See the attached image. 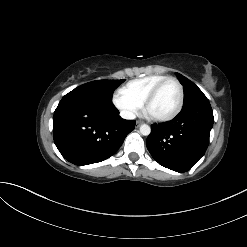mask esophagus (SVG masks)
Here are the masks:
<instances>
[{"mask_svg":"<svg viewBox=\"0 0 247 247\" xmlns=\"http://www.w3.org/2000/svg\"><path fill=\"white\" fill-rule=\"evenodd\" d=\"M141 124H142L141 121H137V122H136V126H137V127H139Z\"/></svg>","mask_w":247,"mask_h":247,"instance_id":"esophagus-1","label":"esophagus"}]
</instances>
